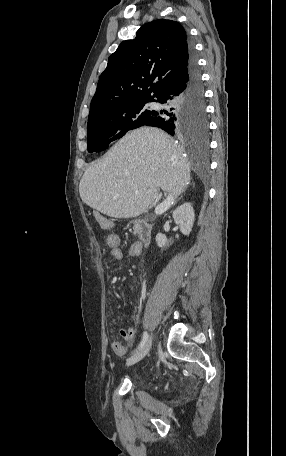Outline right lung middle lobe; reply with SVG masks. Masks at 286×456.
Listing matches in <instances>:
<instances>
[{
  "instance_id": "obj_1",
  "label": "right lung middle lobe",
  "mask_w": 286,
  "mask_h": 456,
  "mask_svg": "<svg viewBox=\"0 0 286 456\" xmlns=\"http://www.w3.org/2000/svg\"><path fill=\"white\" fill-rule=\"evenodd\" d=\"M143 100L124 103L102 110L88 120L87 144L88 152H100L108 148L115 140L121 138L129 130L147 125L156 111L146 108ZM192 130L206 133L205 125H193Z\"/></svg>"
}]
</instances>
